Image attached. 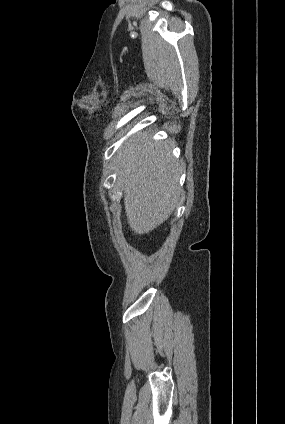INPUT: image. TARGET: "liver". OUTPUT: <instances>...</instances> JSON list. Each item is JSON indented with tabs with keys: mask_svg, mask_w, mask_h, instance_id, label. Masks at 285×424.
Returning a JSON list of instances; mask_svg holds the SVG:
<instances>
[{
	"mask_svg": "<svg viewBox=\"0 0 285 424\" xmlns=\"http://www.w3.org/2000/svg\"><path fill=\"white\" fill-rule=\"evenodd\" d=\"M172 141L152 142L142 133L116 153L117 183L124 192L125 212L135 234L157 228L175 210L180 196V169Z\"/></svg>",
	"mask_w": 285,
	"mask_h": 424,
	"instance_id": "obj_1",
	"label": "liver"
}]
</instances>
